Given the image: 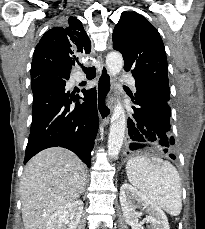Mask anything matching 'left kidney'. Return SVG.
Here are the masks:
<instances>
[{"mask_svg":"<svg viewBox=\"0 0 205 229\" xmlns=\"http://www.w3.org/2000/svg\"><path fill=\"white\" fill-rule=\"evenodd\" d=\"M120 204L125 222L132 229H143L139 223V212H136L140 207L148 214L143 221L149 223L152 229H170L163 210L132 185L124 183L121 186Z\"/></svg>","mask_w":205,"mask_h":229,"instance_id":"1","label":"left kidney"}]
</instances>
